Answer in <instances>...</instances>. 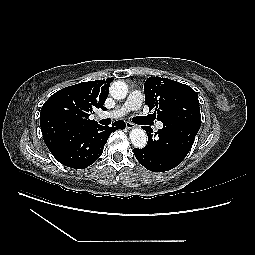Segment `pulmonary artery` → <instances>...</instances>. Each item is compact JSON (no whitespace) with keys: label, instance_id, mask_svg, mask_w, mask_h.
<instances>
[{"label":"pulmonary artery","instance_id":"pulmonary-artery-1","mask_svg":"<svg viewBox=\"0 0 255 255\" xmlns=\"http://www.w3.org/2000/svg\"><path fill=\"white\" fill-rule=\"evenodd\" d=\"M143 101H144V95L142 94V92L138 90H133L129 94L125 103L122 106L117 107L116 109L110 111L108 113V116L112 118L123 116L131 110L139 109L142 106ZM156 128L162 129L163 124L161 122H157Z\"/></svg>","mask_w":255,"mask_h":255}]
</instances>
